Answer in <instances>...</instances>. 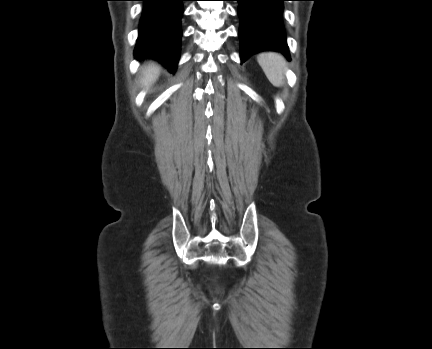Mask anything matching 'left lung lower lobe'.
<instances>
[{
    "label": "left lung lower lobe",
    "instance_id": "0a47b994",
    "mask_svg": "<svg viewBox=\"0 0 432 349\" xmlns=\"http://www.w3.org/2000/svg\"><path fill=\"white\" fill-rule=\"evenodd\" d=\"M239 3V37L242 62L260 51L273 50L290 55L282 24L285 0H236Z\"/></svg>",
    "mask_w": 432,
    "mask_h": 349
}]
</instances>
